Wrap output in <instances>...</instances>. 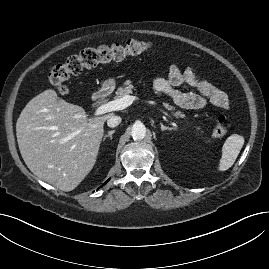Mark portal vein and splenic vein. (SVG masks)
Returning <instances> with one entry per match:
<instances>
[{
    "instance_id": "18ae733b",
    "label": "portal vein and splenic vein",
    "mask_w": 269,
    "mask_h": 269,
    "mask_svg": "<svg viewBox=\"0 0 269 269\" xmlns=\"http://www.w3.org/2000/svg\"><path fill=\"white\" fill-rule=\"evenodd\" d=\"M136 99H137L136 96L125 95L122 98H118L113 101L102 104L95 110L94 114L95 116H99L108 112L123 110L128 106H130ZM149 103L152 104L151 101H149ZM160 111H162V113L165 114L166 116L170 117V115L166 111L162 109H160Z\"/></svg>"
}]
</instances>
